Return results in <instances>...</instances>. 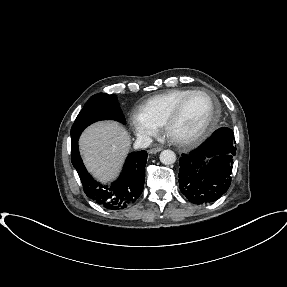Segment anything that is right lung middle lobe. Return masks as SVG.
Segmentation results:
<instances>
[{"label": "right lung middle lobe", "mask_w": 287, "mask_h": 287, "mask_svg": "<svg viewBox=\"0 0 287 287\" xmlns=\"http://www.w3.org/2000/svg\"><path fill=\"white\" fill-rule=\"evenodd\" d=\"M99 120L126 123L116 95L98 93L90 97L71 127V142L77 140L88 125Z\"/></svg>", "instance_id": "obj_1"}]
</instances>
